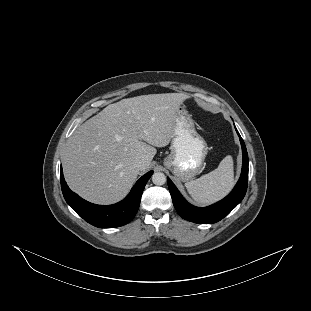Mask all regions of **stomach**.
<instances>
[{
  "instance_id": "0dacf381",
  "label": "stomach",
  "mask_w": 311,
  "mask_h": 311,
  "mask_svg": "<svg viewBox=\"0 0 311 311\" xmlns=\"http://www.w3.org/2000/svg\"><path fill=\"white\" fill-rule=\"evenodd\" d=\"M175 136L163 165L182 182H188L204 166L208 152L206 141L198 134L190 113L181 106L176 114Z\"/></svg>"
}]
</instances>
